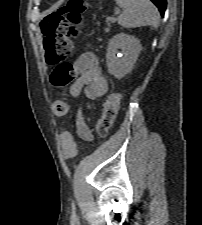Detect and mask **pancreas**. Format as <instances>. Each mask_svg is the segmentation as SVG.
I'll use <instances>...</instances> for the list:
<instances>
[{"label":"pancreas","instance_id":"obj_1","mask_svg":"<svg viewBox=\"0 0 202 225\" xmlns=\"http://www.w3.org/2000/svg\"><path fill=\"white\" fill-rule=\"evenodd\" d=\"M110 21H111V20L108 18V19H107V23H109Z\"/></svg>","mask_w":202,"mask_h":225}]
</instances>
